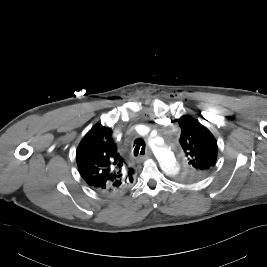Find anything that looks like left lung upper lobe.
<instances>
[{
	"instance_id": "left-lung-upper-lobe-1",
	"label": "left lung upper lobe",
	"mask_w": 267,
	"mask_h": 267,
	"mask_svg": "<svg viewBox=\"0 0 267 267\" xmlns=\"http://www.w3.org/2000/svg\"><path fill=\"white\" fill-rule=\"evenodd\" d=\"M179 142L187 157L181 180L195 182L209 175L217 158V142L212 133L190 116L179 120Z\"/></svg>"
}]
</instances>
